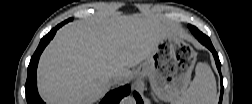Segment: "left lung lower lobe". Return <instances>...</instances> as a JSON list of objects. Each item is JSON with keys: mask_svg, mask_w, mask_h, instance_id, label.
I'll return each instance as SVG.
<instances>
[{"mask_svg": "<svg viewBox=\"0 0 252 104\" xmlns=\"http://www.w3.org/2000/svg\"><path fill=\"white\" fill-rule=\"evenodd\" d=\"M190 30H191L192 34L199 40V42H201L203 45H205L213 53V56H214V59L216 62V66H217V69H218V71L220 73V77H221V94H220V100H219V104H221L222 97H223V78H222V74H221V63H220L218 54L215 51V49L211 43V40L209 39L208 36H206L205 34L200 32L196 27H193ZM133 95L137 101V104H143V101L137 92H134Z\"/></svg>", "mask_w": 252, "mask_h": 104, "instance_id": "0a47b994", "label": "left lung lower lobe"}]
</instances>
